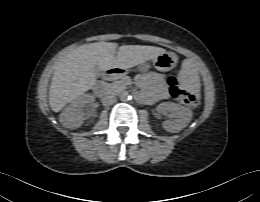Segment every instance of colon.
Masks as SVG:
<instances>
[{"mask_svg":"<svg viewBox=\"0 0 260 202\" xmlns=\"http://www.w3.org/2000/svg\"><path fill=\"white\" fill-rule=\"evenodd\" d=\"M170 95L183 105L196 107L200 103V96L183 88L174 76L168 79Z\"/></svg>","mask_w":260,"mask_h":202,"instance_id":"colon-1","label":"colon"}]
</instances>
